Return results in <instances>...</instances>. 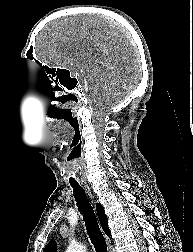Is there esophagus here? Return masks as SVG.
I'll return each instance as SVG.
<instances>
[{"label": "esophagus", "instance_id": "esophagus-1", "mask_svg": "<svg viewBox=\"0 0 193 252\" xmlns=\"http://www.w3.org/2000/svg\"><path fill=\"white\" fill-rule=\"evenodd\" d=\"M86 189H87L88 195L90 196V198L94 202V199H93V196L91 194V191H90L89 187L87 186ZM106 241H107L109 249H111V240L109 238H106Z\"/></svg>", "mask_w": 193, "mask_h": 252}]
</instances>
